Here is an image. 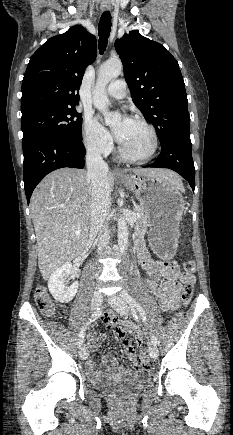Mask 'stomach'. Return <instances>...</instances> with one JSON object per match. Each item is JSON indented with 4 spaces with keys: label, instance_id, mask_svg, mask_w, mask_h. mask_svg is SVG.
I'll list each match as a JSON object with an SVG mask.
<instances>
[{
    "label": "stomach",
    "instance_id": "stomach-1",
    "mask_svg": "<svg viewBox=\"0 0 233 435\" xmlns=\"http://www.w3.org/2000/svg\"><path fill=\"white\" fill-rule=\"evenodd\" d=\"M136 195L149 225V240L162 258L173 257L179 238V223L185 201L179 188L150 175L133 174L121 179Z\"/></svg>",
    "mask_w": 233,
    "mask_h": 435
}]
</instances>
